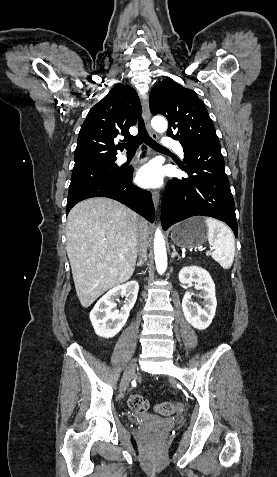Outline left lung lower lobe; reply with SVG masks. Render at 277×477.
Masks as SVG:
<instances>
[{
    "instance_id": "1",
    "label": "left lung lower lobe",
    "mask_w": 277,
    "mask_h": 477,
    "mask_svg": "<svg viewBox=\"0 0 277 477\" xmlns=\"http://www.w3.org/2000/svg\"><path fill=\"white\" fill-rule=\"evenodd\" d=\"M183 150V170L190 178L169 182L161 215L164 230L186 218L203 215L224 221L237 237L235 205L220 145L189 146Z\"/></svg>"
}]
</instances>
